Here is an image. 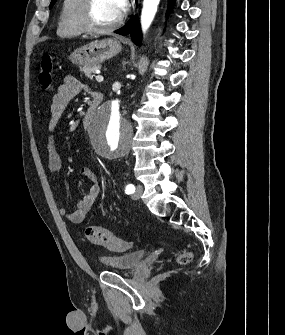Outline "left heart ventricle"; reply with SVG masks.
I'll use <instances>...</instances> for the list:
<instances>
[{
	"label": "left heart ventricle",
	"mask_w": 285,
	"mask_h": 335,
	"mask_svg": "<svg viewBox=\"0 0 285 335\" xmlns=\"http://www.w3.org/2000/svg\"><path fill=\"white\" fill-rule=\"evenodd\" d=\"M121 1H94L92 21L97 27H107L119 18L118 7Z\"/></svg>",
	"instance_id": "obj_1"
}]
</instances>
